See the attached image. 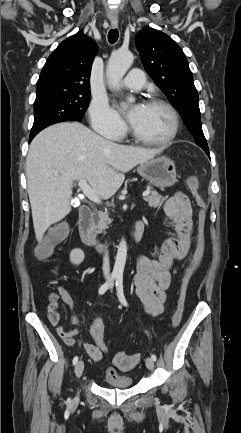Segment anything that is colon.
<instances>
[{"label":"colon","mask_w":241,"mask_h":433,"mask_svg":"<svg viewBox=\"0 0 241 433\" xmlns=\"http://www.w3.org/2000/svg\"><path fill=\"white\" fill-rule=\"evenodd\" d=\"M191 184H192V186L196 192L197 204L201 208V210L198 214L199 239H198L197 248H196L190 262L188 263V265L186 266V268L184 270V274H183L182 282H181L180 297L178 300L176 311H175L173 318H172L173 326H177L182 319L188 285H189L193 275L195 274V272L199 269L201 262H202V259H203V256H204V252H205V236H204L205 214L203 211V209L205 207V202L197 193L198 185H197V181L194 178L191 179ZM60 239H61V235L57 234V233L49 236L40 245V247L38 249V255L40 257L46 256L51 251V249L60 241ZM100 350H101L102 354L107 353V346L105 343H102L100 345ZM140 358H141V355L139 353L129 355V354H125L123 352H118L115 355L113 361H114L115 366L118 369L123 370V371H128V370L133 369L138 364V362L140 361ZM111 373H115V372H111Z\"/></svg>","instance_id":"5ec220e1"}]
</instances>
